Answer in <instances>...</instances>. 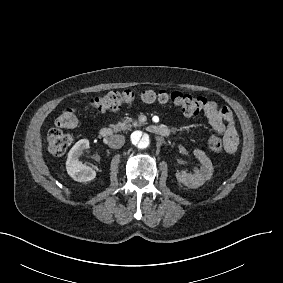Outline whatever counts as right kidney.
Segmentation results:
<instances>
[{
    "instance_id": "obj_1",
    "label": "right kidney",
    "mask_w": 283,
    "mask_h": 283,
    "mask_svg": "<svg viewBox=\"0 0 283 283\" xmlns=\"http://www.w3.org/2000/svg\"><path fill=\"white\" fill-rule=\"evenodd\" d=\"M89 148V140L81 139L70 149L66 161L67 173L78 182L91 181L96 177V172L91 167L82 164L78 158L85 149Z\"/></svg>"
}]
</instances>
